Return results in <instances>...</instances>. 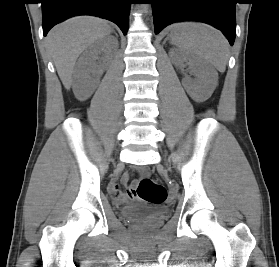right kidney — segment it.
Returning <instances> with one entry per match:
<instances>
[{"instance_id":"right-kidney-1","label":"right kidney","mask_w":279,"mask_h":267,"mask_svg":"<svg viewBox=\"0 0 279 267\" xmlns=\"http://www.w3.org/2000/svg\"><path fill=\"white\" fill-rule=\"evenodd\" d=\"M110 43L107 39H101L89 46L83 53V57L78 63L75 73L74 93L79 100H86L95 90V80L91 74L101 72L102 69L97 68L96 60L101 51H112L118 47L116 38Z\"/></svg>"}]
</instances>
